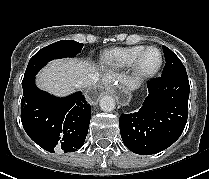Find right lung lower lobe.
Masks as SVG:
<instances>
[{
    "label": "right lung lower lobe",
    "mask_w": 209,
    "mask_h": 179,
    "mask_svg": "<svg viewBox=\"0 0 209 179\" xmlns=\"http://www.w3.org/2000/svg\"><path fill=\"white\" fill-rule=\"evenodd\" d=\"M22 87L21 121L28 136L52 153L80 149L91 117L90 104L82 93L64 98L52 96L36 87L35 76Z\"/></svg>",
    "instance_id": "right-lung-lower-lobe-1"
}]
</instances>
